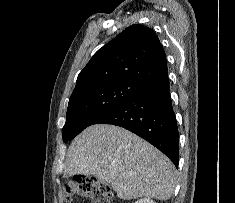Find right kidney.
<instances>
[{
	"mask_svg": "<svg viewBox=\"0 0 235 203\" xmlns=\"http://www.w3.org/2000/svg\"><path fill=\"white\" fill-rule=\"evenodd\" d=\"M135 203H156V202H154L150 198H143V199L137 200Z\"/></svg>",
	"mask_w": 235,
	"mask_h": 203,
	"instance_id": "obj_1",
	"label": "right kidney"
}]
</instances>
